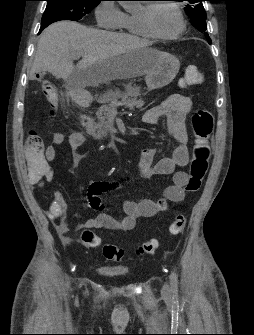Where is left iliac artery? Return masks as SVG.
Instances as JSON below:
<instances>
[{"instance_id":"1","label":"left iliac artery","mask_w":254,"mask_h":335,"mask_svg":"<svg viewBox=\"0 0 254 335\" xmlns=\"http://www.w3.org/2000/svg\"><path fill=\"white\" fill-rule=\"evenodd\" d=\"M170 279H171V287H172L173 295L177 296V292H178V290H177V288H178L177 283H178V281H177V275H176L175 272L171 273Z\"/></svg>"}]
</instances>
